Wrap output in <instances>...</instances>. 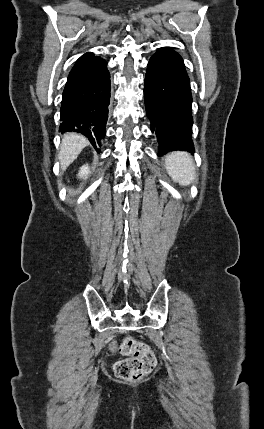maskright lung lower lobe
Wrapping results in <instances>:
<instances>
[{
	"instance_id": "obj_1",
	"label": "right lung lower lobe",
	"mask_w": 264,
	"mask_h": 429,
	"mask_svg": "<svg viewBox=\"0 0 264 429\" xmlns=\"http://www.w3.org/2000/svg\"><path fill=\"white\" fill-rule=\"evenodd\" d=\"M109 103L110 74L105 60L86 53L73 66L63 91L60 132L81 133L97 149L106 133Z\"/></svg>"
}]
</instances>
